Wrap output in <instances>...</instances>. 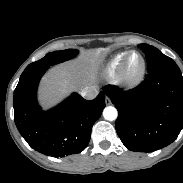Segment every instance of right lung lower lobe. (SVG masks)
<instances>
[{
    "label": "right lung lower lobe",
    "mask_w": 183,
    "mask_h": 183,
    "mask_svg": "<svg viewBox=\"0 0 183 183\" xmlns=\"http://www.w3.org/2000/svg\"><path fill=\"white\" fill-rule=\"evenodd\" d=\"M48 68L25 69L22 73L14 91L15 124L29 146L42 154L59 158L80 153L105 107V92L90 101L73 93L57 107L43 111L36 92Z\"/></svg>",
    "instance_id": "98d812e1"
}]
</instances>
